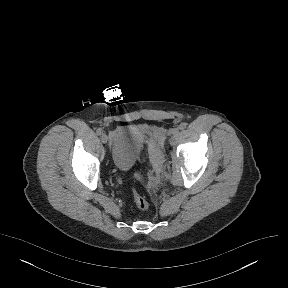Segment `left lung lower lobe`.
<instances>
[{"label": "left lung lower lobe", "mask_w": 288, "mask_h": 288, "mask_svg": "<svg viewBox=\"0 0 288 288\" xmlns=\"http://www.w3.org/2000/svg\"><path fill=\"white\" fill-rule=\"evenodd\" d=\"M266 208H267L266 200L263 197H260L257 203L254 205V207L248 214L250 216L252 213L256 211L259 212L257 218L251 223L250 228H252L253 230H260L263 227L266 219V211H265Z\"/></svg>", "instance_id": "left-lung-lower-lobe-1"}]
</instances>
